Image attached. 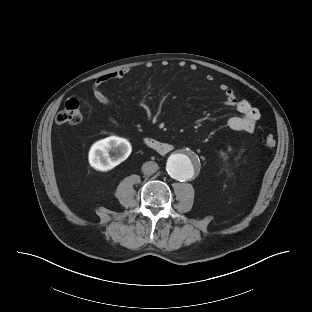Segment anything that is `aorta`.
<instances>
[{
	"label": "aorta",
	"mask_w": 312,
	"mask_h": 312,
	"mask_svg": "<svg viewBox=\"0 0 312 312\" xmlns=\"http://www.w3.org/2000/svg\"><path fill=\"white\" fill-rule=\"evenodd\" d=\"M197 167L198 159L194 154H174L169 157L166 165L168 174L179 181L192 178Z\"/></svg>",
	"instance_id": "obj_1"
}]
</instances>
